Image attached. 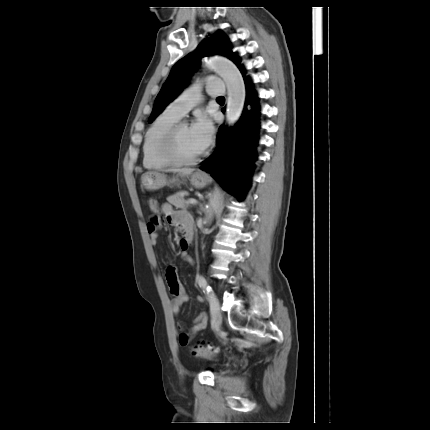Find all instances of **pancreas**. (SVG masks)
<instances>
[{
    "instance_id": "1",
    "label": "pancreas",
    "mask_w": 430,
    "mask_h": 430,
    "mask_svg": "<svg viewBox=\"0 0 430 430\" xmlns=\"http://www.w3.org/2000/svg\"><path fill=\"white\" fill-rule=\"evenodd\" d=\"M185 195H188V192L185 190H182L169 196L167 198V201L173 204L177 208L185 209L188 205V202L184 199Z\"/></svg>"
}]
</instances>
